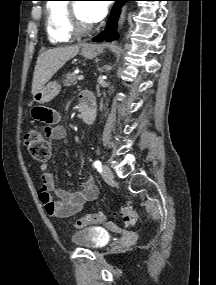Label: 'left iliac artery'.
Masks as SVG:
<instances>
[{"label": "left iliac artery", "instance_id": "1", "mask_svg": "<svg viewBox=\"0 0 216 285\" xmlns=\"http://www.w3.org/2000/svg\"><path fill=\"white\" fill-rule=\"evenodd\" d=\"M94 166H95V168H97L98 170H101L102 163H101L99 160H97V161L94 162Z\"/></svg>", "mask_w": 216, "mask_h": 285}]
</instances>
